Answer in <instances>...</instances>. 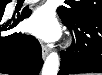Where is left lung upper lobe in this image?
I'll use <instances>...</instances> for the list:
<instances>
[{"label":"left lung upper lobe","mask_w":102,"mask_h":75,"mask_svg":"<svg viewBox=\"0 0 102 75\" xmlns=\"http://www.w3.org/2000/svg\"><path fill=\"white\" fill-rule=\"evenodd\" d=\"M66 6H60L57 12L60 17L73 20L78 17L102 16V0H69Z\"/></svg>","instance_id":"obj_1"}]
</instances>
